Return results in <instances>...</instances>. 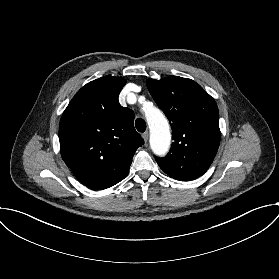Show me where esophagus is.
<instances>
[{
    "label": "esophagus",
    "mask_w": 279,
    "mask_h": 279,
    "mask_svg": "<svg viewBox=\"0 0 279 279\" xmlns=\"http://www.w3.org/2000/svg\"><path fill=\"white\" fill-rule=\"evenodd\" d=\"M148 137H149V133H148V131H145V132L142 134V138L144 139L145 143L148 141Z\"/></svg>",
    "instance_id": "esophagus-1"
}]
</instances>
